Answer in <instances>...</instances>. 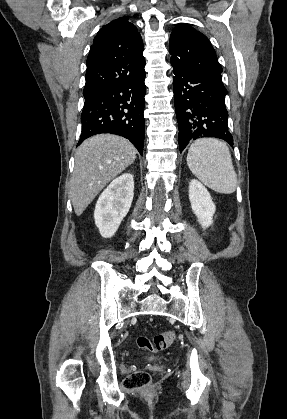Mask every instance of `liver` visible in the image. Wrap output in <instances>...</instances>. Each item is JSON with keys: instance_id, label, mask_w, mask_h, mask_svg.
<instances>
[{"instance_id": "1", "label": "liver", "mask_w": 287, "mask_h": 419, "mask_svg": "<svg viewBox=\"0 0 287 419\" xmlns=\"http://www.w3.org/2000/svg\"><path fill=\"white\" fill-rule=\"evenodd\" d=\"M136 152L131 142L112 134L95 135L78 147L69 190L77 216L111 180L135 161Z\"/></svg>"}]
</instances>
